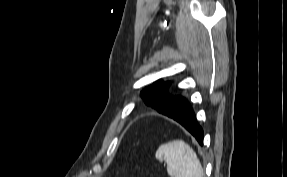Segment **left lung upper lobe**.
<instances>
[{
    "label": "left lung upper lobe",
    "instance_id": "left-lung-upper-lobe-1",
    "mask_svg": "<svg viewBox=\"0 0 287 177\" xmlns=\"http://www.w3.org/2000/svg\"><path fill=\"white\" fill-rule=\"evenodd\" d=\"M170 86V82H164L162 79L156 81L153 85L147 87L141 92V96L147 105L156 109L159 113L169 115L176 108V103L173 102V94L166 92Z\"/></svg>",
    "mask_w": 287,
    "mask_h": 177
}]
</instances>
